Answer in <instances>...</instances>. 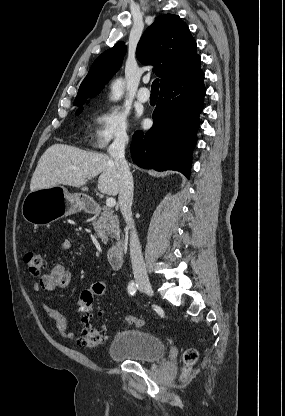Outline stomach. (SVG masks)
I'll list each match as a JSON object with an SVG mask.
<instances>
[{
  "mask_svg": "<svg viewBox=\"0 0 285 416\" xmlns=\"http://www.w3.org/2000/svg\"><path fill=\"white\" fill-rule=\"evenodd\" d=\"M82 208L79 194H69L64 186H53L29 192L23 200L21 212L29 224L46 226L60 218L72 216Z\"/></svg>",
  "mask_w": 285,
  "mask_h": 416,
  "instance_id": "0dacf381",
  "label": "stomach"
}]
</instances>
